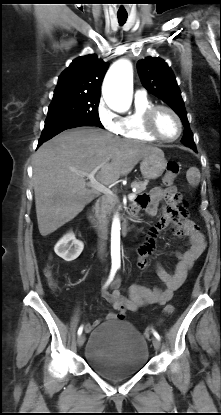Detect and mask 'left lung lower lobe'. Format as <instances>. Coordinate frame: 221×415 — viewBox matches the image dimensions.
Returning <instances> with one entry per match:
<instances>
[{
    "label": "left lung lower lobe",
    "instance_id": "obj_1",
    "mask_svg": "<svg viewBox=\"0 0 221 415\" xmlns=\"http://www.w3.org/2000/svg\"><path fill=\"white\" fill-rule=\"evenodd\" d=\"M191 149H193L194 151H196V147H193V148H191Z\"/></svg>",
    "mask_w": 221,
    "mask_h": 415
}]
</instances>
